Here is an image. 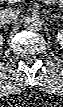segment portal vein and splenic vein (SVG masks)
I'll return each mask as SVG.
<instances>
[{
  "mask_svg": "<svg viewBox=\"0 0 63 107\" xmlns=\"http://www.w3.org/2000/svg\"><path fill=\"white\" fill-rule=\"evenodd\" d=\"M44 3L46 4V5H51V2L49 1V0H44Z\"/></svg>",
  "mask_w": 63,
  "mask_h": 107,
  "instance_id": "18ae733b",
  "label": "portal vein and splenic vein"
}]
</instances>
